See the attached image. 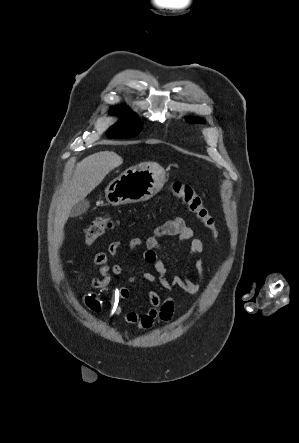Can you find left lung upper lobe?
Wrapping results in <instances>:
<instances>
[{
	"label": "left lung upper lobe",
	"mask_w": 299,
	"mask_h": 443,
	"mask_svg": "<svg viewBox=\"0 0 299 443\" xmlns=\"http://www.w3.org/2000/svg\"><path fill=\"white\" fill-rule=\"evenodd\" d=\"M187 121H189L191 123H203L202 119H197V118L187 119Z\"/></svg>",
	"instance_id": "obj_1"
}]
</instances>
